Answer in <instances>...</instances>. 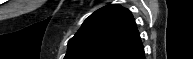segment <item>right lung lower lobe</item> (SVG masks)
<instances>
[{
    "label": "right lung lower lobe",
    "instance_id": "right-lung-lower-lobe-1",
    "mask_svg": "<svg viewBox=\"0 0 193 59\" xmlns=\"http://www.w3.org/2000/svg\"><path fill=\"white\" fill-rule=\"evenodd\" d=\"M144 58H145V54H144L143 48L138 52L134 53L133 55H131L130 57H128V59H144Z\"/></svg>",
    "mask_w": 193,
    "mask_h": 59
}]
</instances>
